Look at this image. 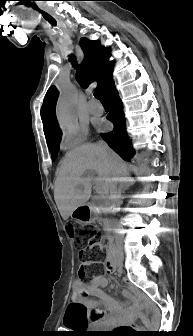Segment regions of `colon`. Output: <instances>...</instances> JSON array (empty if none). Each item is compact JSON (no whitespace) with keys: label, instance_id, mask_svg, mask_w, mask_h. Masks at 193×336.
<instances>
[{"label":"colon","instance_id":"5ec220e1","mask_svg":"<svg viewBox=\"0 0 193 336\" xmlns=\"http://www.w3.org/2000/svg\"><path fill=\"white\" fill-rule=\"evenodd\" d=\"M67 232L80 249L82 266L79 269V275L84 277L87 274L89 265L96 263L100 259L102 254L101 246L99 245L98 240L94 234L90 235L88 240L85 242L78 235L76 227L73 224H68Z\"/></svg>","mask_w":193,"mask_h":336}]
</instances>
